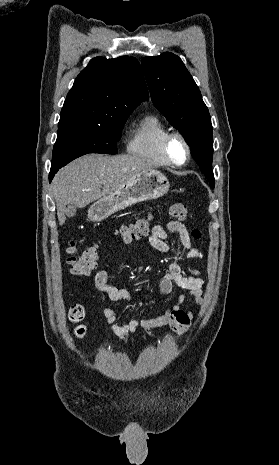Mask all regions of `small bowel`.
Listing matches in <instances>:
<instances>
[{"label":"small bowel","instance_id":"obj_1","mask_svg":"<svg viewBox=\"0 0 279 465\" xmlns=\"http://www.w3.org/2000/svg\"><path fill=\"white\" fill-rule=\"evenodd\" d=\"M168 233L177 235L183 248L184 256L188 259H201L203 252L193 246L190 234L184 224L179 221H170L167 227L160 225L153 227L149 236L151 245L160 252H174L167 242ZM94 284L97 291L101 294V300L107 297L111 301H125L132 303L142 295H135L127 288H119L108 284V273L100 270L96 273ZM204 279L199 271L192 269L190 275H185L182 271L180 260L175 259L169 266V271L164 274L160 280L159 292L163 295L171 293L174 286L180 288L183 292L177 302L167 308L163 313L142 319L140 321L132 320L125 324H115V312L110 308H103L102 314L110 329L116 334L121 342L128 341L129 336L137 331H142L148 336L154 338L153 329L168 326L177 334V339L182 338L192 327L194 316L191 312L183 308L187 298H192L196 304H201L203 300Z\"/></svg>","mask_w":279,"mask_h":465}]
</instances>
